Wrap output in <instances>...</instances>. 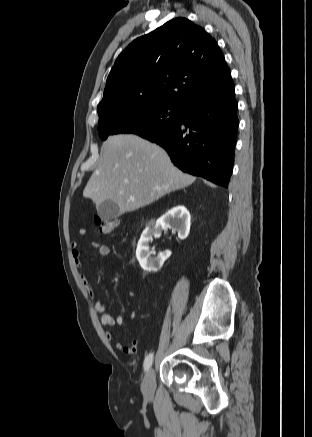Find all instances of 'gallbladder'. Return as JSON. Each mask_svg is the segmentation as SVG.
I'll list each match as a JSON object with an SVG mask.
<instances>
[{
    "label": "gallbladder",
    "instance_id": "gallbladder-1",
    "mask_svg": "<svg viewBox=\"0 0 312 437\" xmlns=\"http://www.w3.org/2000/svg\"><path fill=\"white\" fill-rule=\"evenodd\" d=\"M99 217L105 221H111L120 216L118 204L112 200H106L97 207Z\"/></svg>",
    "mask_w": 312,
    "mask_h": 437
}]
</instances>
